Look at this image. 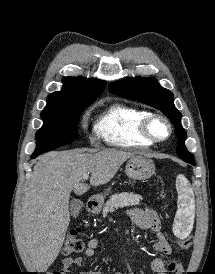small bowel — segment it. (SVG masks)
<instances>
[{
  "label": "small bowel",
  "instance_id": "1",
  "mask_svg": "<svg viewBox=\"0 0 215 274\" xmlns=\"http://www.w3.org/2000/svg\"><path fill=\"white\" fill-rule=\"evenodd\" d=\"M128 216L132 222L140 229H150L156 236L154 247L157 252L162 255L170 256L172 253L171 246L162 232L161 221L158 215L148 208H133L128 211ZM101 242V237H95L88 241L87 247L84 250L85 257H93L96 254L97 248ZM83 257H67L63 260L64 274H68L69 270L74 266H81ZM151 269L157 274H168L182 272V264L179 259L173 257L169 261H164L163 258L157 257L151 262ZM81 274H102L99 271H84ZM115 274H134L132 272L123 273L116 272Z\"/></svg>",
  "mask_w": 215,
  "mask_h": 274
}]
</instances>
